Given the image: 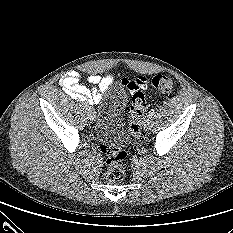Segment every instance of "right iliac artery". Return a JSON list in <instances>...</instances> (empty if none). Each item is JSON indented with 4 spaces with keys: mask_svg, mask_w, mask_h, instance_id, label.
<instances>
[{
    "mask_svg": "<svg viewBox=\"0 0 233 233\" xmlns=\"http://www.w3.org/2000/svg\"><path fill=\"white\" fill-rule=\"evenodd\" d=\"M82 106H83V109H86V110H87V109H88V107H89V105H88L87 103H83V105H82Z\"/></svg>",
    "mask_w": 233,
    "mask_h": 233,
    "instance_id": "82829eb1",
    "label": "right iliac artery"
}]
</instances>
